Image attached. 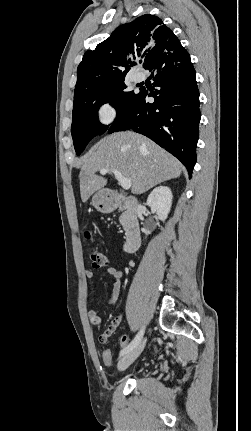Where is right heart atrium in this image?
<instances>
[{
  "instance_id": "obj_1",
  "label": "right heart atrium",
  "mask_w": 251,
  "mask_h": 431,
  "mask_svg": "<svg viewBox=\"0 0 251 431\" xmlns=\"http://www.w3.org/2000/svg\"><path fill=\"white\" fill-rule=\"evenodd\" d=\"M117 117V109L111 102H102L96 108L97 122L102 126L112 124Z\"/></svg>"
}]
</instances>
